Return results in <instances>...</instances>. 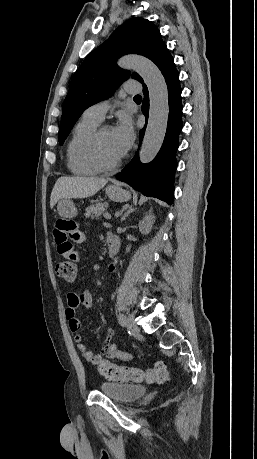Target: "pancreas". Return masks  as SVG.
<instances>
[{
  "mask_svg": "<svg viewBox=\"0 0 257 459\" xmlns=\"http://www.w3.org/2000/svg\"><path fill=\"white\" fill-rule=\"evenodd\" d=\"M108 207V204L107 203H104V202H97L95 203L94 205H91L89 206L88 208H86V213H85V216L88 218V217H98L100 216L101 214L104 213L105 211V208Z\"/></svg>",
  "mask_w": 257,
  "mask_h": 459,
  "instance_id": "cf45deb5",
  "label": "pancreas"
}]
</instances>
